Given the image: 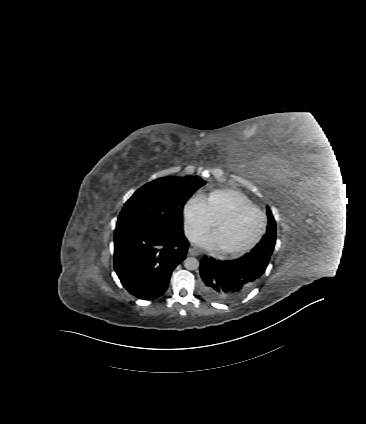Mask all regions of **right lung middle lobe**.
I'll use <instances>...</instances> for the list:
<instances>
[{"instance_id":"obj_1","label":"right lung middle lobe","mask_w":366,"mask_h":424,"mask_svg":"<svg viewBox=\"0 0 366 424\" xmlns=\"http://www.w3.org/2000/svg\"><path fill=\"white\" fill-rule=\"evenodd\" d=\"M205 182L198 177H164L138 189L125 203L116 227H154L180 234L186 201Z\"/></svg>"}]
</instances>
